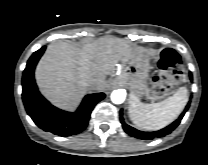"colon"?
<instances>
[{
    "instance_id": "obj_1",
    "label": "colon",
    "mask_w": 208,
    "mask_h": 165,
    "mask_svg": "<svg viewBox=\"0 0 208 165\" xmlns=\"http://www.w3.org/2000/svg\"><path fill=\"white\" fill-rule=\"evenodd\" d=\"M158 68L159 72L153 78V94L156 97H163L181 79L182 60L175 50L167 48L161 54Z\"/></svg>"
}]
</instances>
